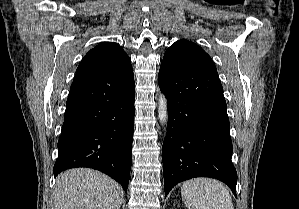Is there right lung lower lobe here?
I'll use <instances>...</instances> for the list:
<instances>
[{"label":"right lung lower lobe","mask_w":299,"mask_h":209,"mask_svg":"<svg viewBox=\"0 0 299 209\" xmlns=\"http://www.w3.org/2000/svg\"><path fill=\"white\" fill-rule=\"evenodd\" d=\"M134 76L115 71L77 73L66 102L53 172L89 167L127 192L134 130Z\"/></svg>","instance_id":"right-lung-lower-lobe-1"}]
</instances>
